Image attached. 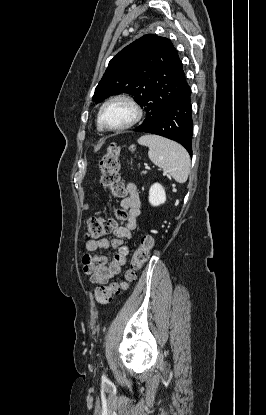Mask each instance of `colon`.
Masks as SVG:
<instances>
[{"mask_svg": "<svg viewBox=\"0 0 266 415\" xmlns=\"http://www.w3.org/2000/svg\"><path fill=\"white\" fill-rule=\"evenodd\" d=\"M119 168L120 147L117 144H111L99 161V169L101 173V185L108 189L115 197H123L125 194V189L120 179ZM115 216L122 218L124 212L122 210H115ZM113 225V218L91 217L86 222V237L92 239L101 238L112 231ZM153 247V237L149 234L143 235L138 247L133 253L130 266L125 271L123 278L109 285L96 288L95 300L98 304H109L114 295L120 294L127 289L128 284L135 280L137 271L149 259Z\"/></svg>", "mask_w": 266, "mask_h": 415, "instance_id": "colon-1", "label": "colon"}]
</instances>
